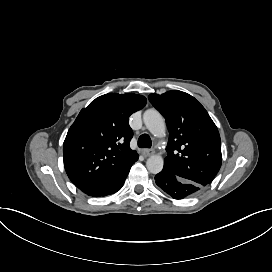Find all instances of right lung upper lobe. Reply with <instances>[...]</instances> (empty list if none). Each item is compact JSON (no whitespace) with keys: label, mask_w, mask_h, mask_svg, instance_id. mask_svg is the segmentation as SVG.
<instances>
[{"label":"right lung upper lobe","mask_w":272,"mask_h":272,"mask_svg":"<svg viewBox=\"0 0 272 272\" xmlns=\"http://www.w3.org/2000/svg\"><path fill=\"white\" fill-rule=\"evenodd\" d=\"M145 105L144 96L109 93L81 110L63 145L65 170L76 187L104 181L138 158L129 147L128 119Z\"/></svg>","instance_id":"1"}]
</instances>
